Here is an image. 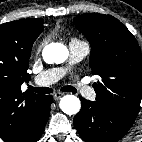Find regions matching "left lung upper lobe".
I'll use <instances>...</instances> for the list:
<instances>
[{
	"label": "left lung upper lobe",
	"mask_w": 142,
	"mask_h": 142,
	"mask_svg": "<svg viewBox=\"0 0 142 142\" xmlns=\"http://www.w3.org/2000/svg\"><path fill=\"white\" fill-rule=\"evenodd\" d=\"M91 45L90 67L101 77L96 101L135 121L142 98V58L133 34L116 18L85 14L74 19Z\"/></svg>",
	"instance_id": "left-lung-upper-lobe-1"
}]
</instances>
